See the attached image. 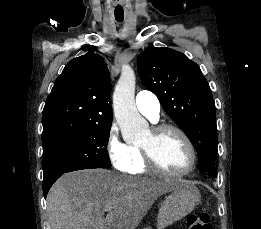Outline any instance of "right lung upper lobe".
<instances>
[{"mask_svg":"<svg viewBox=\"0 0 261 229\" xmlns=\"http://www.w3.org/2000/svg\"><path fill=\"white\" fill-rule=\"evenodd\" d=\"M106 63L87 53L71 60L56 79L43 110V148L67 141L93 125L112 123Z\"/></svg>","mask_w":261,"mask_h":229,"instance_id":"obj_1","label":"right lung upper lobe"}]
</instances>
